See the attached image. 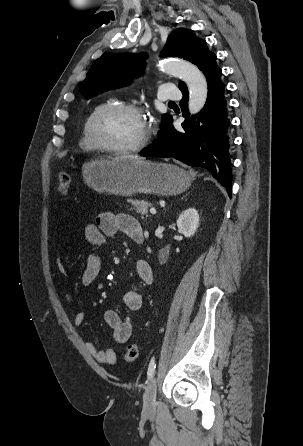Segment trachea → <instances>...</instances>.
Masks as SVG:
<instances>
[{
	"label": "trachea",
	"mask_w": 303,
	"mask_h": 446,
	"mask_svg": "<svg viewBox=\"0 0 303 446\" xmlns=\"http://www.w3.org/2000/svg\"><path fill=\"white\" fill-rule=\"evenodd\" d=\"M169 103L172 104V103H174V102H173V101H170Z\"/></svg>",
	"instance_id": "1"
}]
</instances>
